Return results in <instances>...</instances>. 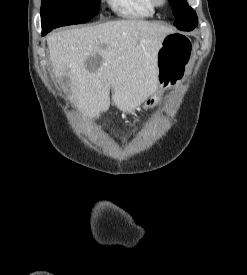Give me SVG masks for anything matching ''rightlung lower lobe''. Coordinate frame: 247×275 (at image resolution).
<instances>
[{"label":"right lung lower lobe","instance_id":"1","mask_svg":"<svg viewBox=\"0 0 247 275\" xmlns=\"http://www.w3.org/2000/svg\"><path fill=\"white\" fill-rule=\"evenodd\" d=\"M48 32H49V31H47V30H42V35L44 36V35H46Z\"/></svg>","mask_w":247,"mask_h":275}]
</instances>
